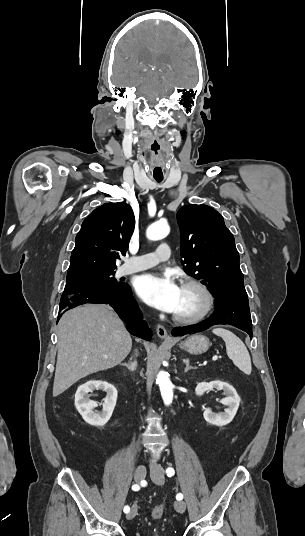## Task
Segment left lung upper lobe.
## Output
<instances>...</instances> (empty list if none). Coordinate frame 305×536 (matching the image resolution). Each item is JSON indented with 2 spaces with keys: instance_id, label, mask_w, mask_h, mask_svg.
<instances>
[{
  "instance_id": "5c2ea615",
  "label": "left lung upper lobe",
  "mask_w": 305,
  "mask_h": 536,
  "mask_svg": "<svg viewBox=\"0 0 305 536\" xmlns=\"http://www.w3.org/2000/svg\"><path fill=\"white\" fill-rule=\"evenodd\" d=\"M177 221L185 272L202 280L216 298L247 296L239 253L223 217L209 206L187 205L178 211Z\"/></svg>"
}]
</instances>
